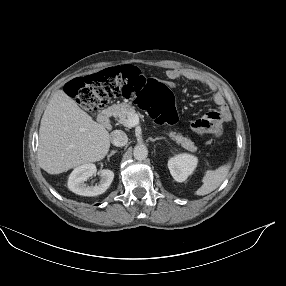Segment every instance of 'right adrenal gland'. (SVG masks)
I'll list each match as a JSON object with an SVG mask.
<instances>
[{"mask_svg":"<svg viewBox=\"0 0 286 286\" xmlns=\"http://www.w3.org/2000/svg\"><path fill=\"white\" fill-rule=\"evenodd\" d=\"M115 153H117V151H111V153L108 155V157L110 158L112 155H114Z\"/></svg>","mask_w":286,"mask_h":286,"instance_id":"right-adrenal-gland-1","label":"right adrenal gland"}]
</instances>
